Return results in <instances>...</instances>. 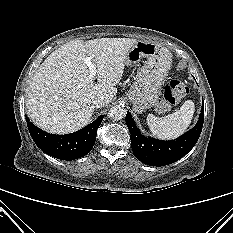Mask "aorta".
I'll return each mask as SVG.
<instances>
[{
    "label": "aorta",
    "instance_id": "1",
    "mask_svg": "<svg viewBox=\"0 0 233 233\" xmlns=\"http://www.w3.org/2000/svg\"><path fill=\"white\" fill-rule=\"evenodd\" d=\"M108 115L114 120H120L121 118L125 117L126 109L122 105H114L110 108Z\"/></svg>",
    "mask_w": 233,
    "mask_h": 233
}]
</instances>
